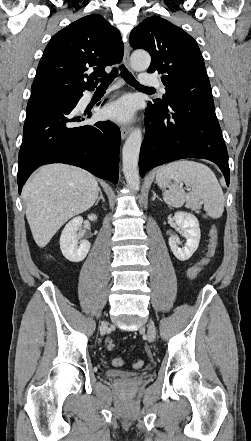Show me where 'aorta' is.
Segmentation results:
<instances>
[{
	"label": "aorta",
	"mask_w": 251,
	"mask_h": 441,
	"mask_svg": "<svg viewBox=\"0 0 251 441\" xmlns=\"http://www.w3.org/2000/svg\"><path fill=\"white\" fill-rule=\"evenodd\" d=\"M151 62L150 55L144 51L132 54L131 66L136 71L147 70ZM142 143V131L134 129L122 149L123 173L131 190L138 191L140 188L138 159Z\"/></svg>",
	"instance_id": "aorta-1"
}]
</instances>
